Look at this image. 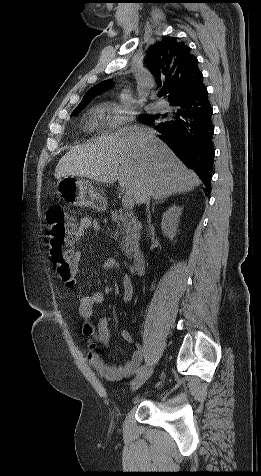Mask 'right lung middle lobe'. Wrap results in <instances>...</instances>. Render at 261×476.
Instances as JSON below:
<instances>
[{
  "mask_svg": "<svg viewBox=\"0 0 261 476\" xmlns=\"http://www.w3.org/2000/svg\"><path fill=\"white\" fill-rule=\"evenodd\" d=\"M86 105H82L80 107H77L73 112H72V115H75L77 114L78 112H80ZM142 119L146 122H153L154 121V117L153 116H149V115H145L142 117Z\"/></svg>",
  "mask_w": 261,
  "mask_h": 476,
  "instance_id": "right-lung-middle-lobe-1",
  "label": "right lung middle lobe"
}]
</instances>
